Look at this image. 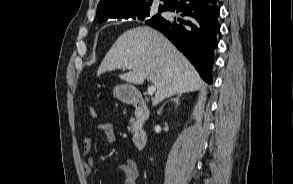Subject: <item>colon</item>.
I'll use <instances>...</instances> for the list:
<instances>
[{"label": "colon", "instance_id": "5ec220e1", "mask_svg": "<svg viewBox=\"0 0 293 184\" xmlns=\"http://www.w3.org/2000/svg\"><path fill=\"white\" fill-rule=\"evenodd\" d=\"M89 112H90V115H91L93 118L96 117L97 113H96V110H95L93 107L90 108Z\"/></svg>", "mask_w": 293, "mask_h": 184}]
</instances>
